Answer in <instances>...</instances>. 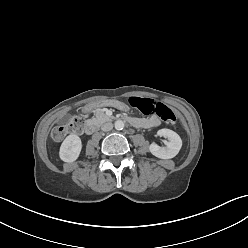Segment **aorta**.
<instances>
[{
	"mask_svg": "<svg viewBox=\"0 0 248 248\" xmlns=\"http://www.w3.org/2000/svg\"><path fill=\"white\" fill-rule=\"evenodd\" d=\"M115 129L122 130L125 126L124 122L122 120H117L114 123Z\"/></svg>",
	"mask_w": 248,
	"mask_h": 248,
	"instance_id": "1",
	"label": "aorta"
}]
</instances>
